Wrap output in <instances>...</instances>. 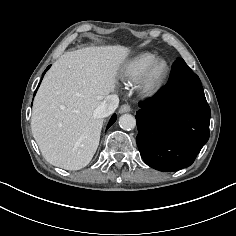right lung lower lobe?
Here are the masks:
<instances>
[{"mask_svg":"<svg viewBox=\"0 0 236 236\" xmlns=\"http://www.w3.org/2000/svg\"><path fill=\"white\" fill-rule=\"evenodd\" d=\"M49 67L50 66H48L47 67V69L45 70V72L49 69ZM44 72V73H45ZM36 92V91H35ZM116 121V114H114L112 117H111V119H110V121H109V123H108V125H107V129L114 123Z\"/></svg>","mask_w":236,"mask_h":236,"instance_id":"98d812e1","label":"right lung lower lobe"}]
</instances>
